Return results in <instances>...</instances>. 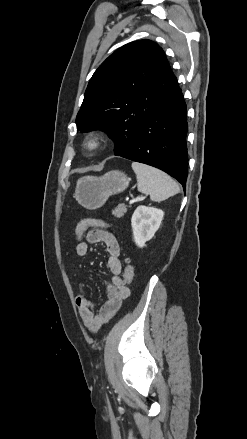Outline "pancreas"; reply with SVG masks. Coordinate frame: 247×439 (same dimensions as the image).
I'll return each instance as SVG.
<instances>
[{"instance_id": "cf45deb5", "label": "pancreas", "mask_w": 247, "mask_h": 439, "mask_svg": "<svg viewBox=\"0 0 247 439\" xmlns=\"http://www.w3.org/2000/svg\"><path fill=\"white\" fill-rule=\"evenodd\" d=\"M126 212L127 206L124 204H119L114 210H112V214L117 218H121Z\"/></svg>"}]
</instances>
